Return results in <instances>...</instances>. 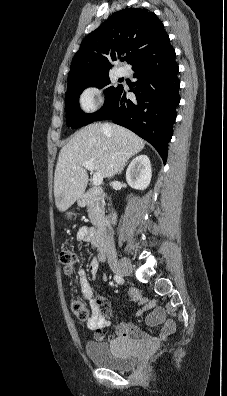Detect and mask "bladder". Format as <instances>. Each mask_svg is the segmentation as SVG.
Segmentation results:
<instances>
[{
    "instance_id": "obj_1",
    "label": "bladder",
    "mask_w": 227,
    "mask_h": 396,
    "mask_svg": "<svg viewBox=\"0 0 227 396\" xmlns=\"http://www.w3.org/2000/svg\"><path fill=\"white\" fill-rule=\"evenodd\" d=\"M89 360L100 367L114 371H128L138 360L137 355L128 350L123 343H100L90 341L85 346Z\"/></svg>"
}]
</instances>
